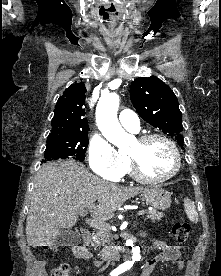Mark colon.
I'll return each mask as SVG.
<instances>
[{"mask_svg": "<svg viewBox=\"0 0 221 276\" xmlns=\"http://www.w3.org/2000/svg\"><path fill=\"white\" fill-rule=\"evenodd\" d=\"M190 232V225L187 222H176L172 227V233L175 239L183 243L187 240ZM50 250H56L55 247H48ZM51 276H70V268L65 263H59L51 270Z\"/></svg>", "mask_w": 221, "mask_h": 276, "instance_id": "colon-1", "label": "colon"}]
</instances>
